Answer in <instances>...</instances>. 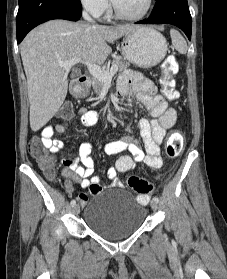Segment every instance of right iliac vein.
Segmentation results:
<instances>
[{"instance_id": "right-iliac-vein-1", "label": "right iliac vein", "mask_w": 227, "mask_h": 279, "mask_svg": "<svg viewBox=\"0 0 227 279\" xmlns=\"http://www.w3.org/2000/svg\"><path fill=\"white\" fill-rule=\"evenodd\" d=\"M79 212H80V206H79V205H75V206L73 207V213H74V214H79Z\"/></svg>"}]
</instances>
